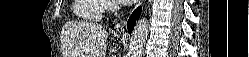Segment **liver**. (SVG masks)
Instances as JSON below:
<instances>
[{
	"label": "liver",
	"mask_w": 249,
	"mask_h": 57,
	"mask_svg": "<svg viewBox=\"0 0 249 57\" xmlns=\"http://www.w3.org/2000/svg\"><path fill=\"white\" fill-rule=\"evenodd\" d=\"M108 32L93 22H69L62 38L66 57H106Z\"/></svg>",
	"instance_id": "liver-1"
}]
</instances>
